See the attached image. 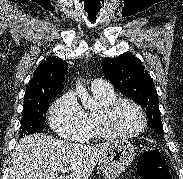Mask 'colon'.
I'll use <instances>...</instances> for the list:
<instances>
[{
    "instance_id": "obj_1",
    "label": "colon",
    "mask_w": 183,
    "mask_h": 179,
    "mask_svg": "<svg viewBox=\"0 0 183 179\" xmlns=\"http://www.w3.org/2000/svg\"><path fill=\"white\" fill-rule=\"evenodd\" d=\"M137 168L141 179H171L163 154L155 148L142 150Z\"/></svg>"
}]
</instances>
